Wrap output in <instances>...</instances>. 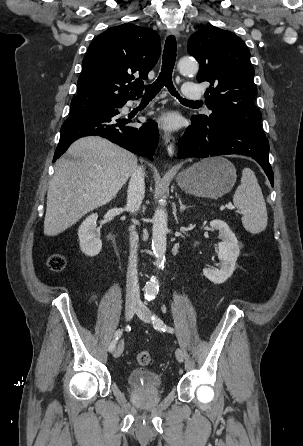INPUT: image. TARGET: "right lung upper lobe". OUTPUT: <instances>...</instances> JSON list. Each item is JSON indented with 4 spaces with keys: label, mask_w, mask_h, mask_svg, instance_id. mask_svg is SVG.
I'll return each instance as SVG.
<instances>
[{
    "label": "right lung upper lobe",
    "mask_w": 303,
    "mask_h": 446,
    "mask_svg": "<svg viewBox=\"0 0 303 446\" xmlns=\"http://www.w3.org/2000/svg\"><path fill=\"white\" fill-rule=\"evenodd\" d=\"M160 52V37L152 29L126 23L106 30L88 48L73 102L84 103L90 111L140 97L142 79H147Z\"/></svg>",
    "instance_id": "1"
}]
</instances>
